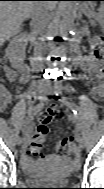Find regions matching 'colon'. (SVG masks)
Returning a JSON list of instances; mask_svg holds the SVG:
<instances>
[{"mask_svg":"<svg viewBox=\"0 0 104 189\" xmlns=\"http://www.w3.org/2000/svg\"><path fill=\"white\" fill-rule=\"evenodd\" d=\"M92 53L96 63L98 64V61L100 60L103 53V40L101 37L94 38L92 42ZM95 74L100 76L101 69L99 68L96 70ZM58 113L59 107L53 103L46 112L40 115L37 133L30 144L29 153L32 155H38L40 153L49 133L48 124ZM57 151L61 156H70L73 159L77 157L76 145L71 139L68 138H63L58 142Z\"/></svg>","mask_w":104,"mask_h":189,"instance_id":"1","label":"colon"}]
</instances>
